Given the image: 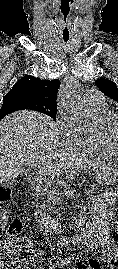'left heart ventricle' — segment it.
<instances>
[{"mask_svg": "<svg viewBox=\"0 0 118 269\" xmlns=\"http://www.w3.org/2000/svg\"><path fill=\"white\" fill-rule=\"evenodd\" d=\"M114 137L117 142L118 141V124L116 125L115 130H114Z\"/></svg>", "mask_w": 118, "mask_h": 269, "instance_id": "obj_1", "label": "left heart ventricle"}]
</instances>
